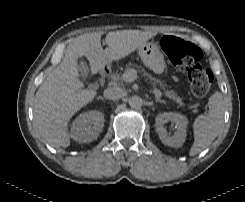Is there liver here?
Returning a JSON list of instances; mask_svg holds the SVG:
<instances>
[{
    "label": "liver",
    "instance_id": "obj_1",
    "mask_svg": "<svg viewBox=\"0 0 245 202\" xmlns=\"http://www.w3.org/2000/svg\"><path fill=\"white\" fill-rule=\"evenodd\" d=\"M153 32L122 30L109 32L101 46V33H89L75 38L67 46L59 65L40 85L34 98V123L43 139L54 148L70 145L68 123L82 107L92 102L97 92L83 89L78 78V58L85 56L93 75L108 62L125 58L149 39Z\"/></svg>",
    "mask_w": 245,
    "mask_h": 202
}]
</instances>
